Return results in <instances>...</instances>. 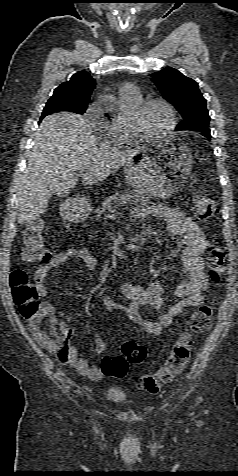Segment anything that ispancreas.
<instances>
[{"mask_svg":"<svg viewBox=\"0 0 238 476\" xmlns=\"http://www.w3.org/2000/svg\"><path fill=\"white\" fill-rule=\"evenodd\" d=\"M148 199L136 192L115 193L104 200L95 210V219L100 220L102 217L116 212L117 207L129 206L133 204H146Z\"/></svg>","mask_w":238,"mask_h":476,"instance_id":"obj_1","label":"pancreas"}]
</instances>
